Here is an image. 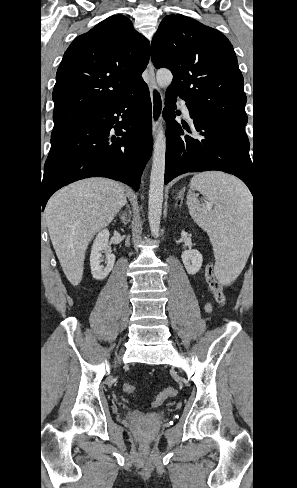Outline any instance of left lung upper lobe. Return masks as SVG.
Wrapping results in <instances>:
<instances>
[{"mask_svg":"<svg viewBox=\"0 0 297 488\" xmlns=\"http://www.w3.org/2000/svg\"><path fill=\"white\" fill-rule=\"evenodd\" d=\"M151 58L156 68L171 70L167 90L185 100L193 115L245 133L244 80L233 46L220 31L168 15L154 35Z\"/></svg>","mask_w":297,"mask_h":488,"instance_id":"1","label":"left lung upper lobe"}]
</instances>
